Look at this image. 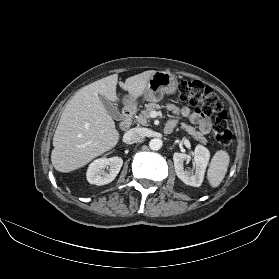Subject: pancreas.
Instances as JSON below:
<instances>
[{
	"label": "pancreas",
	"instance_id": "1",
	"mask_svg": "<svg viewBox=\"0 0 279 279\" xmlns=\"http://www.w3.org/2000/svg\"><path fill=\"white\" fill-rule=\"evenodd\" d=\"M156 109H160V106L156 103H149L145 105V109L141 111V113L136 117V121L143 126H148L150 119V112ZM181 127L185 129L189 135H191L195 140L199 141L202 144L207 143V139L203 136V134L199 131H196L194 127L190 125H186L185 123H181Z\"/></svg>",
	"mask_w": 279,
	"mask_h": 279
}]
</instances>
